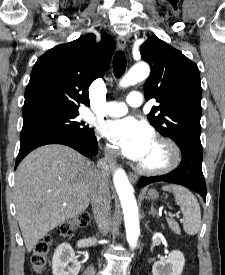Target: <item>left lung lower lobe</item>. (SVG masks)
Instances as JSON below:
<instances>
[{
    "label": "left lung lower lobe",
    "mask_w": 225,
    "mask_h": 275,
    "mask_svg": "<svg viewBox=\"0 0 225 275\" xmlns=\"http://www.w3.org/2000/svg\"><path fill=\"white\" fill-rule=\"evenodd\" d=\"M180 150L182 161L174 171L162 176L141 177L138 186L143 187L159 181L176 183L189 187L206 200V184L201 167L203 159L201 145H187Z\"/></svg>",
    "instance_id": "1"
}]
</instances>
